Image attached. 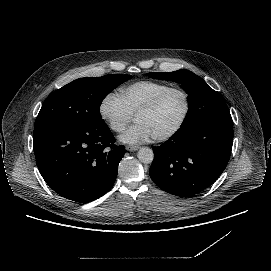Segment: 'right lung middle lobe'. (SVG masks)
I'll use <instances>...</instances> for the list:
<instances>
[{"label":"right lung middle lobe","instance_id":"dd1d6c3e","mask_svg":"<svg viewBox=\"0 0 271 271\" xmlns=\"http://www.w3.org/2000/svg\"><path fill=\"white\" fill-rule=\"evenodd\" d=\"M131 75L110 74L76 79L54 91L44 102L35 127L48 122H67L85 126L103 123L99 106L105 96Z\"/></svg>","mask_w":271,"mask_h":271}]
</instances>
